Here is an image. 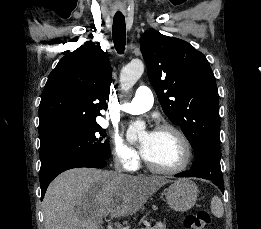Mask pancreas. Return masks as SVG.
Segmentation results:
<instances>
[{"label":"pancreas","mask_w":261,"mask_h":229,"mask_svg":"<svg viewBox=\"0 0 261 229\" xmlns=\"http://www.w3.org/2000/svg\"><path fill=\"white\" fill-rule=\"evenodd\" d=\"M150 229H166L165 223H156L155 227H150Z\"/></svg>","instance_id":"obj_1"}]
</instances>
